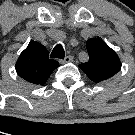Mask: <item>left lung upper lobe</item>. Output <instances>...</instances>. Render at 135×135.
<instances>
[{
    "mask_svg": "<svg viewBox=\"0 0 135 135\" xmlns=\"http://www.w3.org/2000/svg\"><path fill=\"white\" fill-rule=\"evenodd\" d=\"M89 61L79 68L93 81L103 82L113 77L120 69L121 62L116 52L98 38L86 42Z\"/></svg>",
    "mask_w": 135,
    "mask_h": 135,
    "instance_id": "obj_1",
    "label": "left lung upper lobe"
}]
</instances>
